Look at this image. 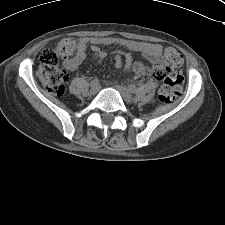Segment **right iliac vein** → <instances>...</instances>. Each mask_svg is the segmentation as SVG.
<instances>
[{
  "label": "right iliac vein",
  "mask_w": 225,
  "mask_h": 225,
  "mask_svg": "<svg viewBox=\"0 0 225 225\" xmlns=\"http://www.w3.org/2000/svg\"><path fill=\"white\" fill-rule=\"evenodd\" d=\"M99 89H100L99 84L91 85L90 94L95 95L99 91Z\"/></svg>",
  "instance_id": "1"
}]
</instances>
